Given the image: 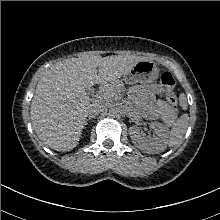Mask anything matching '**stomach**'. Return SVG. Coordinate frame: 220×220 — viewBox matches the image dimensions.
<instances>
[{
	"label": "stomach",
	"instance_id": "1",
	"mask_svg": "<svg viewBox=\"0 0 220 220\" xmlns=\"http://www.w3.org/2000/svg\"><path fill=\"white\" fill-rule=\"evenodd\" d=\"M158 75L159 69L153 61L141 60L124 75V81L127 84H148L155 81Z\"/></svg>",
	"mask_w": 220,
	"mask_h": 220
}]
</instances>
